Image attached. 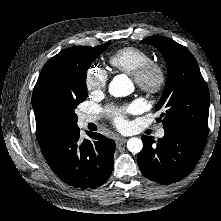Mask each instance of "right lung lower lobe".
<instances>
[{
	"instance_id": "98d812e1",
	"label": "right lung lower lobe",
	"mask_w": 221,
	"mask_h": 221,
	"mask_svg": "<svg viewBox=\"0 0 221 221\" xmlns=\"http://www.w3.org/2000/svg\"><path fill=\"white\" fill-rule=\"evenodd\" d=\"M87 134L91 139L82 140L77 126L68 127L40 146L54 173L80 189L104 184L114 165V140L99 133Z\"/></svg>"
}]
</instances>
